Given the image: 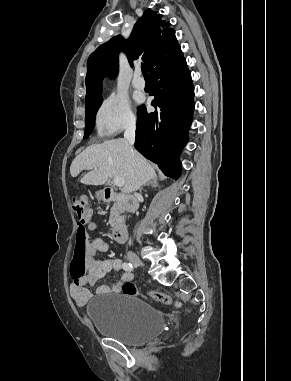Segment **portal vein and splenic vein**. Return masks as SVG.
Instances as JSON below:
<instances>
[{"label": "portal vein and splenic vein", "instance_id": "portal-vein-and-splenic-vein-1", "mask_svg": "<svg viewBox=\"0 0 291 381\" xmlns=\"http://www.w3.org/2000/svg\"><path fill=\"white\" fill-rule=\"evenodd\" d=\"M113 182L117 187H122L124 185V180L120 177H114Z\"/></svg>", "mask_w": 291, "mask_h": 381}]
</instances>
